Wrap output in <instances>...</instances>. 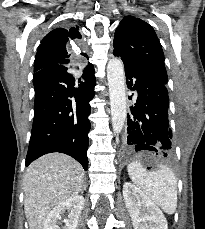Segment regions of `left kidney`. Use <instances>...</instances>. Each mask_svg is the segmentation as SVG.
<instances>
[{
    "label": "left kidney",
    "instance_id": "left-kidney-1",
    "mask_svg": "<svg viewBox=\"0 0 205 229\" xmlns=\"http://www.w3.org/2000/svg\"><path fill=\"white\" fill-rule=\"evenodd\" d=\"M123 197L134 229H168L160 208L134 184L124 183Z\"/></svg>",
    "mask_w": 205,
    "mask_h": 229
}]
</instances>
